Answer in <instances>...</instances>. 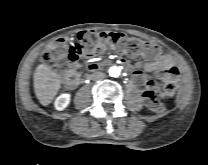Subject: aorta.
I'll use <instances>...</instances> for the list:
<instances>
[{
    "mask_svg": "<svg viewBox=\"0 0 208 165\" xmlns=\"http://www.w3.org/2000/svg\"><path fill=\"white\" fill-rule=\"evenodd\" d=\"M120 73H121V68L120 67L112 66L109 69V75L111 77H118L120 75Z\"/></svg>",
    "mask_w": 208,
    "mask_h": 165,
    "instance_id": "762f6f07",
    "label": "aorta"
}]
</instances>
